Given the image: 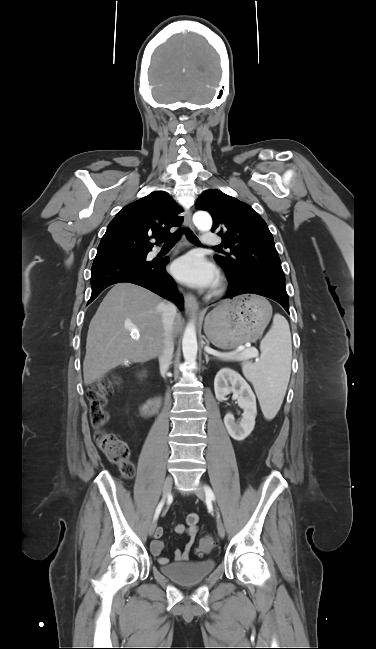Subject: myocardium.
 <instances>
[{
    "label": "myocardium",
    "mask_w": 376,
    "mask_h": 649,
    "mask_svg": "<svg viewBox=\"0 0 376 649\" xmlns=\"http://www.w3.org/2000/svg\"><path fill=\"white\" fill-rule=\"evenodd\" d=\"M221 290H222V284L220 283L217 293L221 292Z\"/></svg>",
    "instance_id": "myocardium-1"
}]
</instances>
